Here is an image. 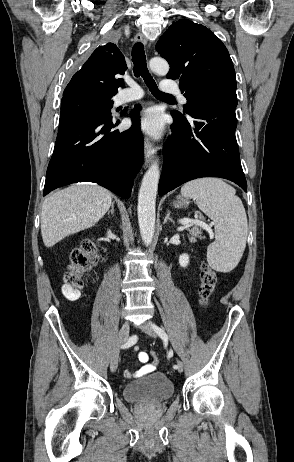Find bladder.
<instances>
[{"label":"bladder","instance_id":"31cf9c89","mask_svg":"<svg viewBox=\"0 0 294 462\" xmlns=\"http://www.w3.org/2000/svg\"><path fill=\"white\" fill-rule=\"evenodd\" d=\"M174 394L171 380L163 373H152L123 387L124 398L132 403L162 402Z\"/></svg>","mask_w":294,"mask_h":462}]
</instances>
